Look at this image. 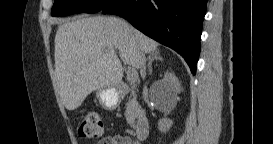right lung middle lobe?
Instances as JSON below:
<instances>
[{"mask_svg": "<svg viewBox=\"0 0 273 144\" xmlns=\"http://www.w3.org/2000/svg\"><path fill=\"white\" fill-rule=\"evenodd\" d=\"M111 0H55L52 16H66L75 13H95L103 9Z\"/></svg>", "mask_w": 273, "mask_h": 144, "instance_id": "dd1d6c3e", "label": "right lung middle lobe"}]
</instances>
